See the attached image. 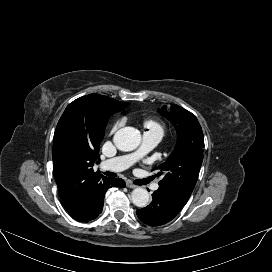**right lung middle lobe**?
<instances>
[{"instance_id": "dd1d6c3e", "label": "right lung middle lobe", "mask_w": 272, "mask_h": 272, "mask_svg": "<svg viewBox=\"0 0 272 272\" xmlns=\"http://www.w3.org/2000/svg\"><path fill=\"white\" fill-rule=\"evenodd\" d=\"M116 112H118V111H110V112H108V113L105 115V117L102 119V121H101V128H102L103 131H104L105 127H106L107 121L109 120L110 116H111L112 114L116 113Z\"/></svg>"}]
</instances>
